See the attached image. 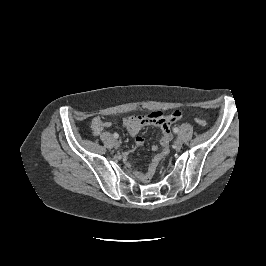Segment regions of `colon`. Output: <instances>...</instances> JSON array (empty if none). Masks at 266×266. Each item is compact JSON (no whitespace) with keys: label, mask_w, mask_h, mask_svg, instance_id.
<instances>
[{"label":"colon","mask_w":266,"mask_h":266,"mask_svg":"<svg viewBox=\"0 0 266 266\" xmlns=\"http://www.w3.org/2000/svg\"><path fill=\"white\" fill-rule=\"evenodd\" d=\"M194 120H195L196 124H198L201 127H204L207 125V122L202 118H195Z\"/></svg>","instance_id":"obj_1"}]
</instances>
